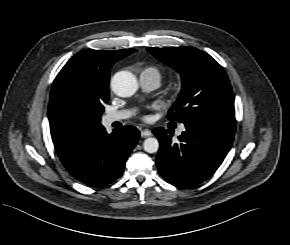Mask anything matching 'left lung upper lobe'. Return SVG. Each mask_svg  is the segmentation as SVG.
<instances>
[{
	"mask_svg": "<svg viewBox=\"0 0 290 245\" xmlns=\"http://www.w3.org/2000/svg\"><path fill=\"white\" fill-rule=\"evenodd\" d=\"M147 51L176 69L182 77V90L169 110V120L183 123L200 120L235 132L234 95L220 64L193 47L148 48Z\"/></svg>",
	"mask_w": 290,
	"mask_h": 245,
	"instance_id": "1",
	"label": "left lung upper lobe"
}]
</instances>
